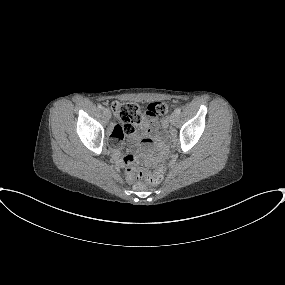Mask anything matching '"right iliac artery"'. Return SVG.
<instances>
[{
    "label": "right iliac artery",
    "instance_id": "1",
    "mask_svg": "<svg viewBox=\"0 0 285 285\" xmlns=\"http://www.w3.org/2000/svg\"><path fill=\"white\" fill-rule=\"evenodd\" d=\"M99 109H103V106L101 104L98 105Z\"/></svg>",
    "mask_w": 285,
    "mask_h": 285
}]
</instances>
